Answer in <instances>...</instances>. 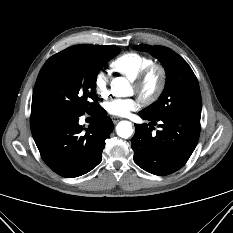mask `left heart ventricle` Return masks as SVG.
Returning <instances> with one entry per match:
<instances>
[{"mask_svg":"<svg viewBox=\"0 0 233 233\" xmlns=\"http://www.w3.org/2000/svg\"><path fill=\"white\" fill-rule=\"evenodd\" d=\"M158 83V75L157 73H153L149 79L147 80L145 86H144V93L146 94H150L154 91V89L156 88ZM131 92L132 93H136V88L134 87V85H131Z\"/></svg>","mask_w":233,"mask_h":233,"instance_id":"b2bd125f","label":"left heart ventricle"}]
</instances>
